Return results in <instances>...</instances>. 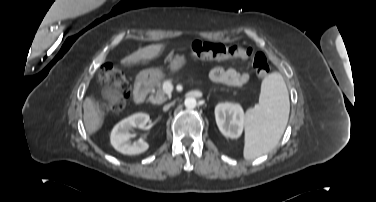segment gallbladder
<instances>
[{"label": "gallbladder", "instance_id": "1", "mask_svg": "<svg viewBox=\"0 0 376 202\" xmlns=\"http://www.w3.org/2000/svg\"><path fill=\"white\" fill-rule=\"evenodd\" d=\"M117 94H118V90L116 88H112V87L107 86V87L102 89V96H103V98H105L107 100L116 98Z\"/></svg>", "mask_w": 376, "mask_h": 202}]
</instances>
